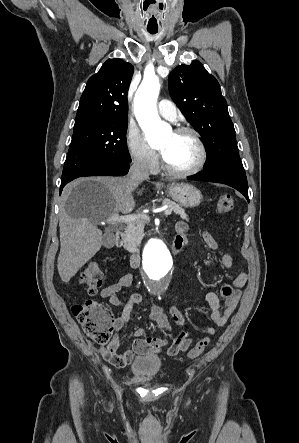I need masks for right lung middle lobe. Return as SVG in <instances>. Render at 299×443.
Here are the masks:
<instances>
[{
	"label": "right lung middle lobe",
	"mask_w": 299,
	"mask_h": 443,
	"mask_svg": "<svg viewBox=\"0 0 299 443\" xmlns=\"http://www.w3.org/2000/svg\"><path fill=\"white\" fill-rule=\"evenodd\" d=\"M128 120L107 119L74 128L61 182L116 162H131L126 145Z\"/></svg>",
	"instance_id": "right-lung-middle-lobe-1"
}]
</instances>
